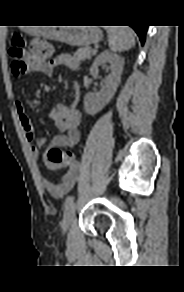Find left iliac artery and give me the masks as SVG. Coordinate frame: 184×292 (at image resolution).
Masks as SVG:
<instances>
[{"mask_svg":"<svg viewBox=\"0 0 184 292\" xmlns=\"http://www.w3.org/2000/svg\"><path fill=\"white\" fill-rule=\"evenodd\" d=\"M74 203V197L73 196H69L66 201H65V207L68 208L69 206H71Z\"/></svg>","mask_w":184,"mask_h":292,"instance_id":"1","label":"left iliac artery"}]
</instances>
